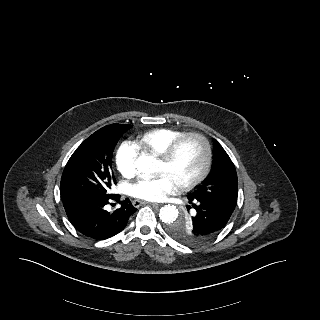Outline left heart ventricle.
<instances>
[{
    "mask_svg": "<svg viewBox=\"0 0 320 320\" xmlns=\"http://www.w3.org/2000/svg\"><path fill=\"white\" fill-rule=\"evenodd\" d=\"M202 161L203 150L200 142L190 138L181 144L171 163L159 161L158 173L167 175L177 186L194 177L199 172Z\"/></svg>",
    "mask_w": 320,
    "mask_h": 320,
    "instance_id": "left-heart-ventricle-1",
    "label": "left heart ventricle"
}]
</instances>
